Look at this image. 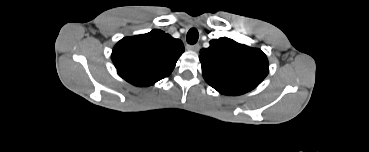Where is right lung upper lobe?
<instances>
[{"label":"right lung upper lobe","mask_w":369,"mask_h":152,"mask_svg":"<svg viewBox=\"0 0 369 152\" xmlns=\"http://www.w3.org/2000/svg\"><path fill=\"white\" fill-rule=\"evenodd\" d=\"M184 52L181 40L154 29L149 33L120 40L112 52L118 74L140 87L153 85L167 77Z\"/></svg>","instance_id":"1"}]
</instances>
